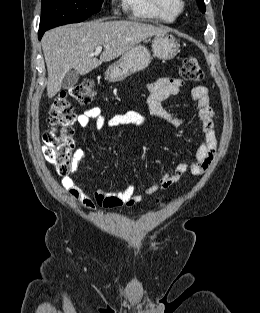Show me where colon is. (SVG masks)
I'll list each match as a JSON object with an SVG mask.
<instances>
[{"label":"colon","mask_w":260,"mask_h":313,"mask_svg":"<svg viewBox=\"0 0 260 313\" xmlns=\"http://www.w3.org/2000/svg\"><path fill=\"white\" fill-rule=\"evenodd\" d=\"M182 75L186 80L198 82L203 79L204 72L196 58L185 57L182 62ZM95 96L94 81L87 79L58 93L50 106V128L43 134V151L45 159L55 167L59 175L69 173L76 154L72 139L76 115L69 97L87 104Z\"/></svg>","instance_id":"5ec220e1"}]
</instances>
